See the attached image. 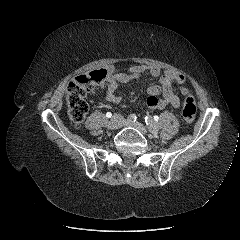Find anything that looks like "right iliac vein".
I'll return each instance as SVG.
<instances>
[{
  "mask_svg": "<svg viewBox=\"0 0 240 240\" xmlns=\"http://www.w3.org/2000/svg\"><path fill=\"white\" fill-rule=\"evenodd\" d=\"M123 119L120 117V116H118V115H115V116H113L111 119H110V121L108 122V125H107V127H108V129H110V130H115V129H118V128H120L122 125H123Z\"/></svg>",
  "mask_w": 240,
  "mask_h": 240,
  "instance_id": "obj_1",
  "label": "right iliac vein"
}]
</instances>
